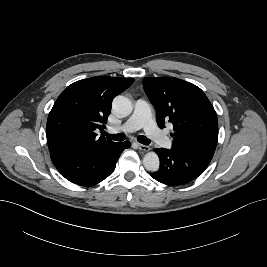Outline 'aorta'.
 Segmentation results:
<instances>
[{
	"instance_id": "obj_1",
	"label": "aorta",
	"mask_w": 267,
	"mask_h": 267,
	"mask_svg": "<svg viewBox=\"0 0 267 267\" xmlns=\"http://www.w3.org/2000/svg\"><path fill=\"white\" fill-rule=\"evenodd\" d=\"M112 109L117 115L126 117L131 114L133 110V104L127 97L118 95L112 102ZM143 165L146 170L156 172L160 166L158 155L153 151L148 152L143 158Z\"/></svg>"
}]
</instances>
